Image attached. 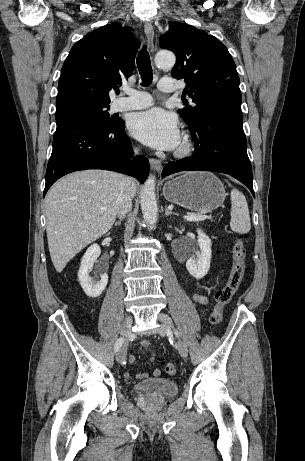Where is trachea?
<instances>
[{
	"instance_id": "3493384b",
	"label": "trachea",
	"mask_w": 305,
	"mask_h": 461,
	"mask_svg": "<svg viewBox=\"0 0 305 461\" xmlns=\"http://www.w3.org/2000/svg\"><path fill=\"white\" fill-rule=\"evenodd\" d=\"M137 67L141 75L142 85L149 86L153 77L150 56L145 45L137 57Z\"/></svg>"
}]
</instances>
